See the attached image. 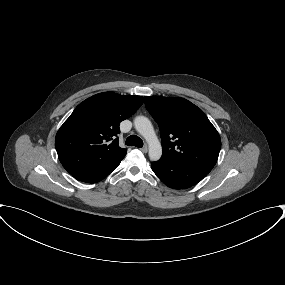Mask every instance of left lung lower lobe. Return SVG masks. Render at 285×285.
Returning <instances> with one entry per match:
<instances>
[{"label": "left lung lower lobe", "instance_id": "obj_1", "mask_svg": "<svg viewBox=\"0 0 285 285\" xmlns=\"http://www.w3.org/2000/svg\"><path fill=\"white\" fill-rule=\"evenodd\" d=\"M153 172L168 187L186 189L201 181L208 173L184 164H174L160 159L152 163Z\"/></svg>", "mask_w": 285, "mask_h": 285}]
</instances>
